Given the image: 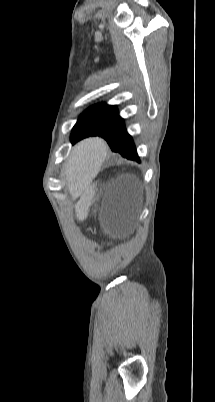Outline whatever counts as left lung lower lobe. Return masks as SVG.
<instances>
[{
    "instance_id": "obj_1",
    "label": "left lung lower lobe",
    "mask_w": 215,
    "mask_h": 402,
    "mask_svg": "<svg viewBox=\"0 0 215 402\" xmlns=\"http://www.w3.org/2000/svg\"><path fill=\"white\" fill-rule=\"evenodd\" d=\"M89 136H100L107 141L112 151L119 152L127 159L140 161L132 137L126 131L123 119L118 115ZM83 138L86 137H80L72 143L74 144Z\"/></svg>"
}]
</instances>
